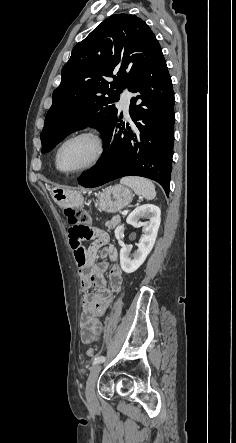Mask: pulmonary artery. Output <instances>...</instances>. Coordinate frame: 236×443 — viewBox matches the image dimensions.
<instances>
[{"label": "pulmonary artery", "instance_id": "1", "mask_svg": "<svg viewBox=\"0 0 236 443\" xmlns=\"http://www.w3.org/2000/svg\"><path fill=\"white\" fill-rule=\"evenodd\" d=\"M131 96L130 92H124L119 101V107L124 111L125 115H128Z\"/></svg>", "mask_w": 236, "mask_h": 443}]
</instances>
